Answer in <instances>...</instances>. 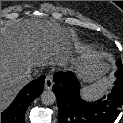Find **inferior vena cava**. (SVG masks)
Instances as JSON below:
<instances>
[{"mask_svg":"<svg viewBox=\"0 0 123 123\" xmlns=\"http://www.w3.org/2000/svg\"><path fill=\"white\" fill-rule=\"evenodd\" d=\"M31 73H32L31 68H29L24 72L23 77L28 81H30L33 78V75Z\"/></svg>","mask_w":123,"mask_h":123,"instance_id":"1","label":"inferior vena cava"}]
</instances>
